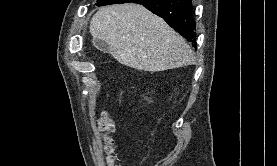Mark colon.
Instances as JSON below:
<instances>
[{"mask_svg":"<svg viewBox=\"0 0 277 166\" xmlns=\"http://www.w3.org/2000/svg\"><path fill=\"white\" fill-rule=\"evenodd\" d=\"M98 129L102 134L104 149L107 153V161L109 162V164H113L114 141L111 134L114 131V121L108 113L104 112L102 114L98 122Z\"/></svg>","mask_w":277,"mask_h":166,"instance_id":"5ec220e1","label":"colon"}]
</instances>
